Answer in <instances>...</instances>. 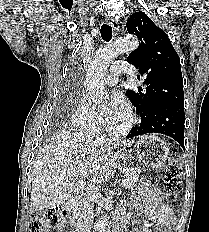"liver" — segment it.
<instances>
[{
    "label": "liver",
    "mask_w": 209,
    "mask_h": 232,
    "mask_svg": "<svg viewBox=\"0 0 209 232\" xmlns=\"http://www.w3.org/2000/svg\"><path fill=\"white\" fill-rule=\"evenodd\" d=\"M119 146L76 130L59 132L34 162L30 212L61 205L77 195L83 189L85 173L96 183L113 177L117 155L123 156Z\"/></svg>",
    "instance_id": "6515ba94"
}]
</instances>
